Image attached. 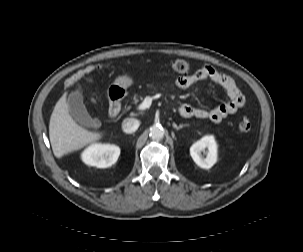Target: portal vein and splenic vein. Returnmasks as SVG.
<instances>
[{
	"mask_svg": "<svg viewBox=\"0 0 303 252\" xmlns=\"http://www.w3.org/2000/svg\"><path fill=\"white\" fill-rule=\"evenodd\" d=\"M152 99L151 98H145L143 102L137 107L138 110H146L151 106Z\"/></svg>",
	"mask_w": 303,
	"mask_h": 252,
	"instance_id": "1",
	"label": "portal vein and splenic vein"
}]
</instances>
